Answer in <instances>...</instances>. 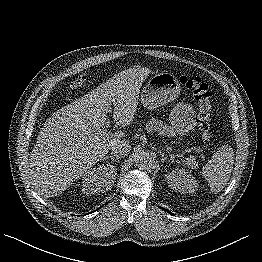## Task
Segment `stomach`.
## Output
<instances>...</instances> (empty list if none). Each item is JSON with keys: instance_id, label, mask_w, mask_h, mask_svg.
I'll return each instance as SVG.
<instances>
[{"instance_id": "0dacf381", "label": "stomach", "mask_w": 262, "mask_h": 262, "mask_svg": "<svg viewBox=\"0 0 262 262\" xmlns=\"http://www.w3.org/2000/svg\"><path fill=\"white\" fill-rule=\"evenodd\" d=\"M180 92L181 85L173 74L158 73L143 87L141 103L145 108L153 110L176 100ZM169 120L173 130L181 136L192 130L196 124L193 108L185 103H178L172 108Z\"/></svg>"}]
</instances>
